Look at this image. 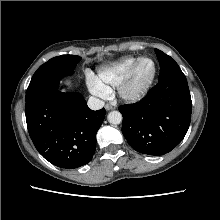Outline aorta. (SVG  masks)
Listing matches in <instances>:
<instances>
[{"label": "aorta", "instance_id": "1", "mask_svg": "<svg viewBox=\"0 0 220 220\" xmlns=\"http://www.w3.org/2000/svg\"><path fill=\"white\" fill-rule=\"evenodd\" d=\"M108 122L110 124H120L122 122V115L119 111H111L107 116Z\"/></svg>", "mask_w": 220, "mask_h": 220}]
</instances>
